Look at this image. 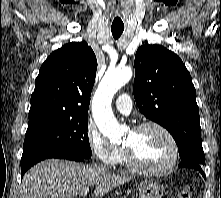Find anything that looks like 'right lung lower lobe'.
I'll list each match as a JSON object with an SVG mask.
<instances>
[{
	"label": "right lung lower lobe",
	"mask_w": 221,
	"mask_h": 198,
	"mask_svg": "<svg viewBox=\"0 0 221 198\" xmlns=\"http://www.w3.org/2000/svg\"><path fill=\"white\" fill-rule=\"evenodd\" d=\"M48 158H59V159H69V160H73V161H83L87 158L80 156L78 154L75 153H71V152H65V151H58V152H49L43 155H40L36 158H34L33 160H31L30 162L21 165V178L23 177L24 173L33 165H35L36 163L44 160V159H48Z\"/></svg>",
	"instance_id": "obj_1"
}]
</instances>
